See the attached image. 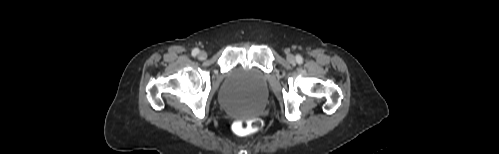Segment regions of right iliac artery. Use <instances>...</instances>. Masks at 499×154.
<instances>
[{
  "label": "right iliac artery",
  "instance_id": "obj_1",
  "mask_svg": "<svg viewBox=\"0 0 499 154\" xmlns=\"http://www.w3.org/2000/svg\"><path fill=\"white\" fill-rule=\"evenodd\" d=\"M198 53H199V49H198V48H195V49H193V51H192V56H196Z\"/></svg>",
  "mask_w": 499,
  "mask_h": 154
}]
</instances>
